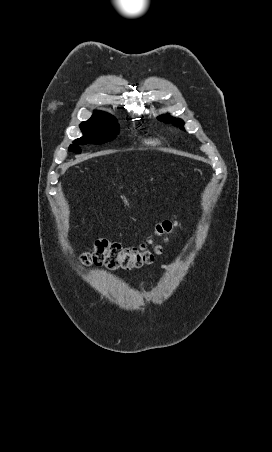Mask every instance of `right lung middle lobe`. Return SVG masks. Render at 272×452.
I'll return each instance as SVG.
<instances>
[{"label":"right lung middle lobe","instance_id":"1","mask_svg":"<svg viewBox=\"0 0 272 452\" xmlns=\"http://www.w3.org/2000/svg\"><path fill=\"white\" fill-rule=\"evenodd\" d=\"M83 137L76 139L74 144L69 146V151L81 153L78 144H101L116 137L119 126L116 119L109 114L91 119L80 124Z\"/></svg>","mask_w":272,"mask_h":452}]
</instances>
